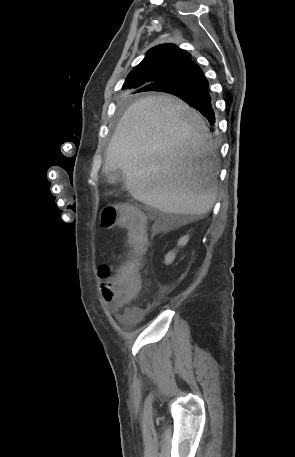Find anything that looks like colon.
<instances>
[{
	"instance_id": "5ec220e1",
	"label": "colon",
	"mask_w": 295,
	"mask_h": 457,
	"mask_svg": "<svg viewBox=\"0 0 295 457\" xmlns=\"http://www.w3.org/2000/svg\"><path fill=\"white\" fill-rule=\"evenodd\" d=\"M101 222L107 228L119 224L129 232L131 253L127 262L115 275H111L106 268L99 271L105 300L122 307L132 301L140 289L139 271L147 249L146 221L138 209L121 204L106 206L101 213Z\"/></svg>"
}]
</instances>
